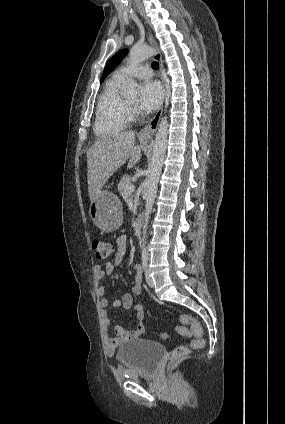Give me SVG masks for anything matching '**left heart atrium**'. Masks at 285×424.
Returning a JSON list of instances; mask_svg holds the SVG:
<instances>
[{
  "mask_svg": "<svg viewBox=\"0 0 285 424\" xmlns=\"http://www.w3.org/2000/svg\"><path fill=\"white\" fill-rule=\"evenodd\" d=\"M163 99V90L157 81H145L141 87V95L137 104L138 109L144 112L156 110Z\"/></svg>",
  "mask_w": 285,
  "mask_h": 424,
  "instance_id": "39dd6f15",
  "label": "left heart atrium"
}]
</instances>
